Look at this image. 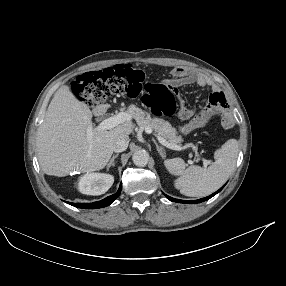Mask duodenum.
<instances>
[{
	"label": "duodenum",
	"mask_w": 286,
	"mask_h": 286,
	"mask_svg": "<svg viewBox=\"0 0 286 286\" xmlns=\"http://www.w3.org/2000/svg\"><path fill=\"white\" fill-rule=\"evenodd\" d=\"M105 112H106V107H104V106L97 107V109H96V113L100 117L103 116L105 114Z\"/></svg>",
	"instance_id": "obj_1"
}]
</instances>
